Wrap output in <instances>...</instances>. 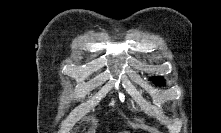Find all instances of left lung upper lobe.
Instances as JSON below:
<instances>
[{
    "label": "left lung upper lobe",
    "instance_id": "1",
    "mask_svg": "<svg viewBox=\"0 0 221 133\" xmlns=\"http://www.w3.org/2000/svg\"><path fill=\"white\" fill-rule=\"evenodd\" d=\"M154 82L157 84H163V79L161 77H158L157 79L154 80Z\"/></svg>",
    "mask_w": 221,
    "mask_h": 133
}]
</instances>
